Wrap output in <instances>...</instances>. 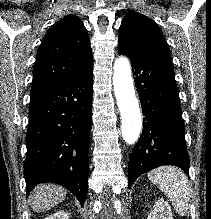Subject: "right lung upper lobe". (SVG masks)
Masks as SVG:
<instances>
[{"label": "right lung upper lobe", "mask_w": 211, "mask_h": 219, "mask_svg": "<svg viewBox=\"0 0 211 219\" xmlns=\"http://www.w3.org/2000/svg\"><path fill=\"white\" fill-rule=\"evenodd\" d=\"M93 64L82 21L69 15L51 26L37 52L31 97L44 93Z\"/></svg>", "instance_id": "obj_1"}]
</instances>
